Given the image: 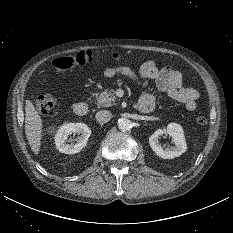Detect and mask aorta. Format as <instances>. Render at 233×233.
Wrapping results in <instances>:
<instances>
[{
	"label": "aorta",
	"mask_w": 233,
	"mask_h": 233,
	"mask_svg": "<svg viewBox=\"0 0 233 233\" xmlns=\"http://www.w3.org/2000/svg\"><path fill=\"white\" fill-rule=\"evenodd\" d=\"M118 128L121 131H129L132 128L131 120H129L127 118H120L118 120Z\"/></svg>",
	"instance_id": "762f6f07"
}]
</instances>
